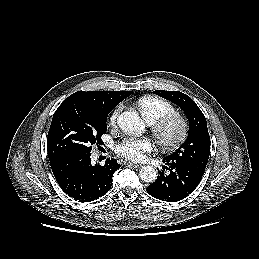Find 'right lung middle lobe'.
Returning <instances> with one entry per match:
<instances>
[{
    "label": "right lung middle lobe",
    "instance_id": "1",
    "mask_svg": "<svg viewBox=\"0 0 259 259\" xmlns=\"http://www.w3.org/2000/svg\"><path fill=\"white\" fill-rule=\"evenodd\" d=\"M110 110L100 105L70 100L55 111L47 137L49 160L69 153H90L102 143Z\"/></svg>",
    "mask_w": 259,
    "mask_h": 259
}]
</instances>
